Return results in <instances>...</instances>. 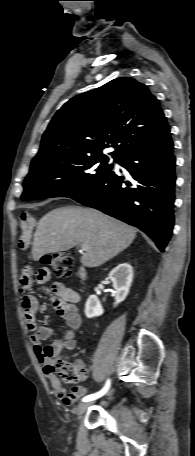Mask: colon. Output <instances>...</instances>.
I'll list each match as a JSON object with an SVG mask.
<instances>
[{
  "label": "colon",
  "mask_w": 195,
  "mask_h": 456,
  "mask_svg": "<svg viewBox=\"0 0 195 456\" xmlns=\"http://www.w3.org/2000/svg\"><path fill=\"white\" fill-rule=\"evenodd\" d=\"M42 262L52 267L58 277L65 278L72 273L74 261L71 254L57 252L44 256ZM44 369L47 374L57 375L68 384L79 382L85 375L84 369L77 362L64 359L50 360Z\"/></svg>",
  "instance_id": "colon-1"
}]
</instances>
